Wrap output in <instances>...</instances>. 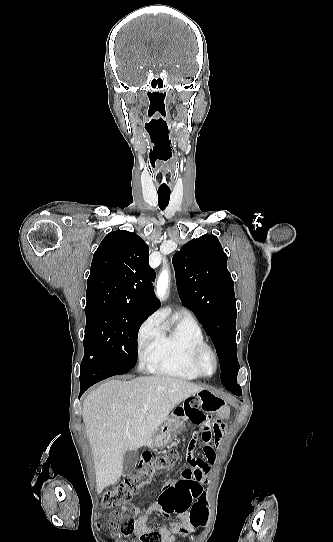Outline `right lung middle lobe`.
I'll list each match as a JSON object with an SVG mask.
<instances>
[{"mask_svg": "<svg viewBox=\"0 0 333 542\" xmlns=\"http://www.w3.org/2000/svg\"><path fill=\"white\" fill-rule=\"evenodd\" d=\"M86 328L82 362L102 360L126 372L136 364L137 337L150 316L116 306L85 307Z\"/></svg>", "mask_w": 333, "mask_h": 542, "instance_id": "right-lung-middle-lobe-1", "label": "right lung middle lobe"}]
</instances>
